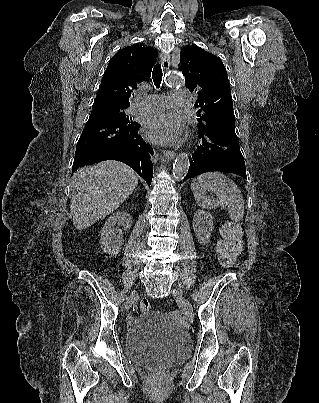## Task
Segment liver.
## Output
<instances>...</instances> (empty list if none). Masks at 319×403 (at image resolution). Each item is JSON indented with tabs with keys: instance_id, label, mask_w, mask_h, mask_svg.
Returning <instances> with one entry per match:
<instances>
[{
	"instance_id": "6515ba94",
	"label": "liver",
	"mask_w": 319,
	"mask_h": 403,
	"mask_svg": "<svg viewBox=\"0 0 319 403\" xmlns=\"http://www.w3.org/2000/svg\"><path fill=\"white\" fill-rule=\"evenodd\" d=\"M138 176L126 164L105 161L80 168L73 177V225L86 229L114 212L134 191Z\"/></svg>"
}]
</instances>
